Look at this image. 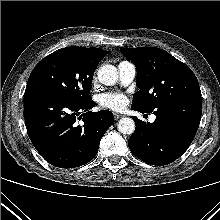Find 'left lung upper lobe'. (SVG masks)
I'll return each instance as SVG.
<instances>
[{
  "instance_id": "1",
  "label": "left lung upper lobe",
  "mask_w": 220,
  "mask_h": 220,
  "mask_svg": "<svg viewBox=\"0 0 220 220\" xmlns=\"http://www.w3.org/2000/svg\"><path fill=\"white\" fill-rule=\"evenodd\" d=\"M137 69L136 84L140 89L132 108L150 113L165 103L200 96L198 80L192 70L171 54L155 47L120 48Z\"/></svg>"
}]
</instances>
